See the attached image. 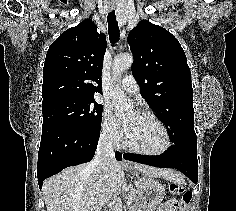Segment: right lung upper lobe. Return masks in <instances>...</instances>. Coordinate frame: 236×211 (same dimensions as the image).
Instances as JSON below:
<instances>
[{
    "mask_svg": "<svg viewBox=\"0 0 236 211\" xmlns=\"http://www.w3.org/2000/svg\"><path fill=\"white\" fill-rule=\"evenodd\" d=\"M106 38L90 20L63 32L47 51L42 97L46 104L60 98L94 99L102 93Z\"/></svg>",
    "mask_w": 236,
    "mask_h": 211,
    "instance_id": "cb5924a9",
    "label": "right lung upper lobe"
}]
</instances>
